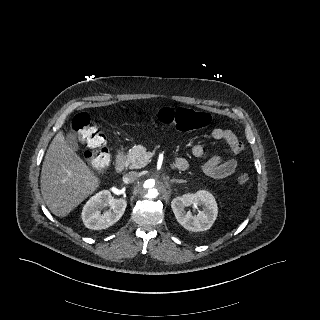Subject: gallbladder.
<instances>
[{"mask_svg": "<svg viewBox=\"0 0 320 320\" xmlns=\"http://www.w3.org/2000/svg\"><path fill=\"white\" fill-rule=\"evenodd\" d=\"M67 143L74 150H76L78 148L77 143L75 142V139H74L73 134L71 132L67 135Z\"/></svg>", "mask_w": 320, "mask_h": 320, "instance_id": "1", "label": "gallbladder"}]
</instances>
